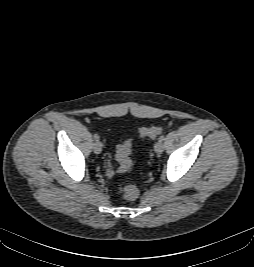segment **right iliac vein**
I'll use <instances>...</instances> for the list:
<instances>
[{"label":"right iliac vein","mask_w":254,"mask_h":267,"mask_svg":"<svg viewBox=\"0 0 254 267\" xmlns=\"http://www.w3.org/2000/svg\"><path fill=\"white\" fill-rule=\"evenodd\" d=\"M93 150L96 154H100L102 151V143L98 140L93 144Z\"/></svg>","instance_id":"obj_1"}]
</instances>
